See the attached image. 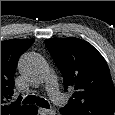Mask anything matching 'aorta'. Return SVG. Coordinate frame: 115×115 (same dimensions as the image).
I'll list each match as a JSON object with an SVG mask.
<instances>
[{
    "label": "aorta",
    "mask_w": 115,
    "mask_h": 115,
    "mask_svg": "<svg viewBox=\"0 0 115 115\" xmlns=\"http://www.w3.org/2000/svg\"><path fill=\"white\" fill-rule=\"evenodd\" d=\"M20 67L29 79L37 82L42 81L43 75L47 71L45 60L39 54L33 52L22 57ZM49 113L52 114L53 112Z\"/></svg>",
    "instance_id": "obj_1"
}]
</instances>
